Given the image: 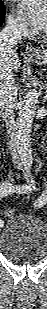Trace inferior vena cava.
I'll return each instance as SVG.
<instances>
[{"instance_id": "obj_1", "label": "inferior vena cava", "mask_w": 47, "mask_h": 309, "mask_svg": "<svg viewBox=\"0 0 47 309\" xmlns=\"http://www.w3.org/2000/svg\"><path fill=\"white\" fill-rule=\"evenodd\" d=\"M24 27L16 21H8L0 32L1 49H11L21 42ZM17 86L14 73L4 70L0 74L1 117L11 132L15 127L14 107L17 101ZM15 156V153H14Z\"/></svg>"}]
</instances>
